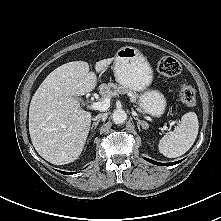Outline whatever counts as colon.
I'll return each mask as SVG.
<instances>
[{"label": "colon", "mask_w": 221, "mask_h": 221, "mask_svg": "<svg viewBox=\"0 0 221 221\" xmlns=\"http://www.w3.org/2000/svg\"><path fill=\"white\" fill-rule=\"evenodd\" d=\"M158 71L160 74L167 77L177 76L181 71L180 63L173 57H162L158 62ZM180 98L183 104L192 107L197 102L196 91L190 85L185 83L180 84Z\"/></svg>", "instance_id": "5ec220e1"}]
</instances>
